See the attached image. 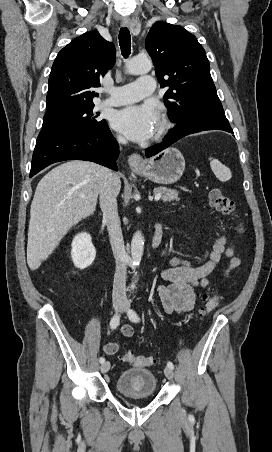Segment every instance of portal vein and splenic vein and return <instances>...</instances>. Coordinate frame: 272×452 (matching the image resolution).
I'll return each instance as SVG.
<instances>
[{
  "label": "portal vein and splenic vein",
  "mask_w": 272,
  "mask_h": 452,
  "mask_svg": "<svg viewBox=\"0 0 272 452\" xmlns=\"http://www.w3.org/2000/svg\"><path fill=\"white\" fill-rule=\"evenodd\" d=\"M161 196H162V194L161 193H157V194H155V196H154V200L155 201H158L160 198H161Z\"/></svg>",
  "instance_id": "18ae733b"
}]
</instances>
